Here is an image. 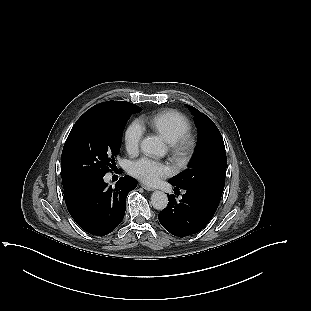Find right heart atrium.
Here are the masks:
<instances>
[{"instance_id":"1","label":"right heart atrium","mask_w":311,"mask_h":311,"mask_svg":"<svg viewBox=\"0 0 311 311\" xmlns=\"http://www.w3.org/2000/svg\"><path fill=\"white\" fill-rule=\"evenodd\" d=\"M143 133V128L139 122L133 121L128 125L125 131V142L129 151L135 152L138 150Z\"/></svg>"}]
</instances>
